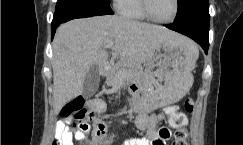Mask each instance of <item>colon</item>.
Segmentation results:
<instances>
[{"mask_svg": "<svg viewBox=\"0 0 243 145\" xmlns=\"http://www.w3.org/2000/svg\"><path fill=\"white\" fill-rule=\"evenodd\" d=\"M185 109L187 112H191L193 109L192 102L188 100L185 103ZM165 114L168 116V124L174 130V140L172 145H189L187 117L184 113L179 112L177 107L170 105L165 107ZM61 116L64 119L70 120V124L74 127L85 130L90 127L89 122L92 120V111L85 107V101L82 98H76L73 101L66 104L61 110ZM57 141H54L53 145H58Z\"/></svg>", "mask_w": 243, "mask_h": 145, "instance_id": "5ec220e1", "label": "colon"}]
</instances>
